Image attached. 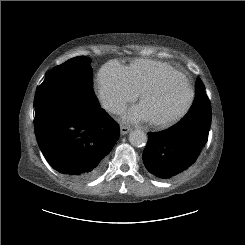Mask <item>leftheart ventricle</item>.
I'll list each match as a JSON object with an SVG mask.
<instances>
[{
	"label": "left heart ventricle",
	"mask_w": 245,
	"mask_h": 245,
	"mask_svg": "<svg viewBox=\"0 0 245 245\" xmlns=\"http://www.w3.org/2000/svg\"><path fill=\"white\" fill-rule=\"evenodd\" d=\"M189 97L190 90L185 80L180 76H173L165 81L158 92L148 96L141 105L149 120H161L180 112Z\"/></svg>",
	"instance_id": "left-heart-ventricle-1"
}]
</instances>
